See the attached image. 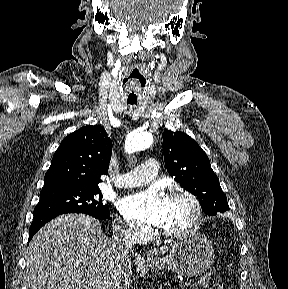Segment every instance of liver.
<instances>
[{"instance_id":"liver-1","label":"liver","mask_w":288,"mask_h":289,"mask_svg":"<svg viewBox=\"0 0 288 289\" xmlns=\"http://www.w3.org/2000/svg\"><path fill=\"white\" fill-rule=\"evenodd\" d=\"M168 248L152 251L158 256ZM131 257L117 261L98 220L64 214L42 227L29 243L26 277L29 289H98L113 276L114 289H129ZM115 276V278H114Z\"/></svg>"}]
</instances>
